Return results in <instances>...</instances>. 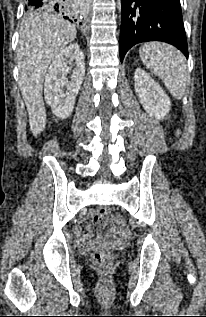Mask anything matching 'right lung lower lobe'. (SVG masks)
I'll use <instances>...</instances> for the list:
<instances>
[{
  "instance_id": "1",
  "label": "right lung lower lobe",
  "mask_w": 206,
  "mask_h": 317,
  "mask_svg": "<svg viewBox=\"0 0 206 317\" xmlns=\"http://www.w3.org/2000/svg\"><path fill=\"white\" fill-rule=\"evenodd\" d=\"M66 0H26L25 12H44V11H56L66 12ZM65 19H69L68 16H64ZM76 21V20H75Z\"/></svg>"
}]
</instances>
